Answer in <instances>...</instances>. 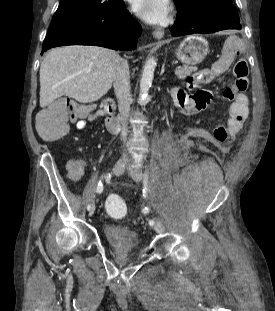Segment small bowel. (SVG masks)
<instances>
[{
	"instance_id": "obj_1",
	"label": "small bowel",
	"mask_w": 275,
	"mask_h": 311,
	"mask_svg": "<svg viewBox=\"0 0 275 311\" xmlns=\"http://www.w3.org/2000/svg\"><path fill=\"white\" fill-rule=\"evenodd\" d=\"M225 51L222 53L220 60H211L210 69H199L198 73H192V80L188 82V93L180 87L172 88L169 91L170 97L176 102L183 113L195 114L201 112L204 108H209L213 102L212 92L208 91L210 82L221 79V72H227L228 67H234V57H246L247 51L241 46V41L235 38H228L226 41ZM194 99V100H193ZM102 110L91 112L76 122L79 130L86 129L88 123L95 122L104 116ZM229 122H219V115H212L214 132L211 133L212 143H229L234 139V133H242V124L248 115V97L243 92H236L228 110ZM68 180H82L84 164H77L76 160H65Z\"/></svg>"
}]
</instances>
